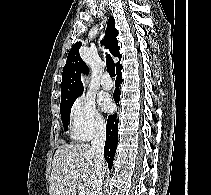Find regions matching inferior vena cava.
I'll list each match as a JSON object with an SVG mask.
<instances>
[{
  "label": "inferior vena cava",
  "instance_id": "inferior-vena-cava-1",
  "mask_svg": "<svg viewBox=\"0 0 211 195\" xmlns=\"http://www.w3.org/2000/svg\"><path fill=\"white\" fill-rule=\"evenodd\" d=\"M106 140L105 124H98L91 141L92 150L95 152L96 176L92 182L89 195H101V186L105 175L104 145Z\"/></svg>",
  "mask_w": 211,
  "mask_h": 195
}]
</instances>
